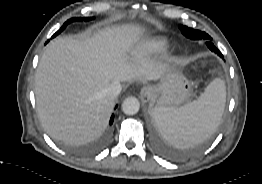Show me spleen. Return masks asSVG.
Segmentation results:
<instances>
[{"mask_svg": "<svg viewBox=\"0 0 262 184\" xmlns=\"http://www.w3.org/2000/svg\"><path fill=\"white\" fill-rule=\"evenodd\" d=\"M225 102V83L216 78L197 100L179 108L156 106L153 117L159 131L169 143L185 148L207 139L216 131Z\"/></svg>", "mask_w": 262, "mask_h": 184, "instance_id": "1", "label": "spleen"}]
</instances>
